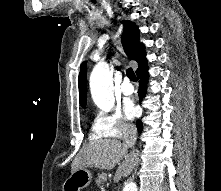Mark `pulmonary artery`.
Returning a JSON list of instances; mask_svg holds the SVG:
<instances>
[{"label":"pulmonary artery","instance_id":"e3ab8cb5","mask_svg":"<svg viewBox=\"0 0 221 191\" xmlns=\"http://www.w3.org/2000/svg\"><path fill=\"white\" fill-rule=\"evenodd\" d=\"M121 92L124 95H131L134 92V87L130 83L128 78H125L120 87Z\"/></svg>","mask_w":221,"mask_h":191}]
</instances>
